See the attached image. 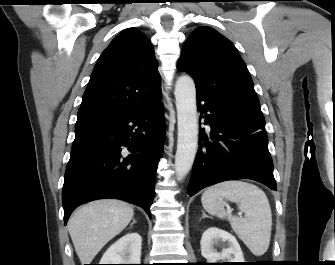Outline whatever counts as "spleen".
Here are the masks:
<instances>
[{"mask_svg":"<svg viewBox=\"0 0 335 265\" xmlns=\"http://www.w3.org/2000/svg\"><path fill=\"white\" fill-rule=\"evenodd\" d=\"M238 204L245 217L228 216L223 200ZM203 208L220 218L228 216L234 232L255 256L268 249L272 229V213L264 191L254 184L231 180L207 188L201 197Z\"/></svg>","mask_w":335,"mask_h":265,"instance_id":"spleen-1","label":"spleen"}]
</instances>
